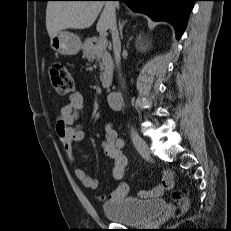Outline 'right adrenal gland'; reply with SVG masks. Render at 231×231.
Listing matches in <instances>:
<instances>
[{"instance_id":"1","label":"right adrenal gland","mask_w":231,"mask_h":231,"mask_svg":"<svg viewBox=\"0 0 231 231\" xmlns=\"http://www.w3.org/2000/svg\"><path fill=\"white\" fill-rule=\"evenodd\" d=\"M125 23L126 21L124 22L119 21V31H120L121 38H123L122 30H123V26L125 25Z\"/></svg>"}]
</instances>
